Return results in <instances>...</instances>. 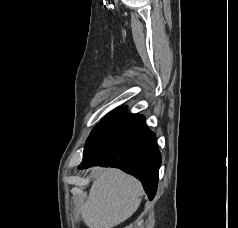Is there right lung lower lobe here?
<instances>
[{
	"mask_svg": "<svg viewBox=\"0 0 238 228\" xmlns=\"http://www.w3.org/2000/svg\"><path fill=\"white\" fill-rule=\"evenodd\" d=\"M142 115L116 119L86 143L79 169L91 166L117 167L142 182L150 200L155 196L161 155L155 134Z\"/></svg>",
	"mask_w": 238,
	"mask_h": 228,
	"instance_id": "obj_1",
	"label": "right lung lower lobe"
}]
</instances>
